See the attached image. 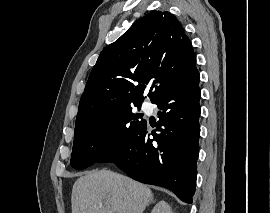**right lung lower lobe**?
<instances>
[{"label":"right lung lower lobe","mask_w":270,"mask_h":213,"mask_svg":"<svg viewBox=\"0 0 270 213\" xmlns=\"http://www.w3.org/2000/svg\"><path fill=\"white\" fill-rule=\"evenodd\" d=\"M199 80L194 67L182 80L158 95L151 101L159 108L157 128L150 132L145 121L100 163H115L131 178L167 187L182 201L192 203L199 154Z\"/></svg>","instance_id":"98d812e1"}]
</instances>
